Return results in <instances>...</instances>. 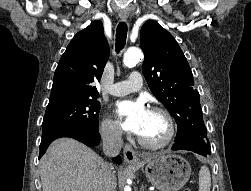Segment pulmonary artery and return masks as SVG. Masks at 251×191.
<instances>
[{
  "label": "pulmonary artery",
  "mask_w": 251,
  "mask_h": 191,
  "mask_svg": "<svg viewBox=\"0 0 251 191\" xmlns=\"http://www.w3.org/2000/svg\"><path fill=\"white\" fill-rule=\"evenodd\" d=\"M143 86V77L137 72L133 71L128 76L127 80L114 83L108 87V92L114 96H123L132 91H137Z\"/></svg>",
  "instance_id": "1"
}]
</instances>
